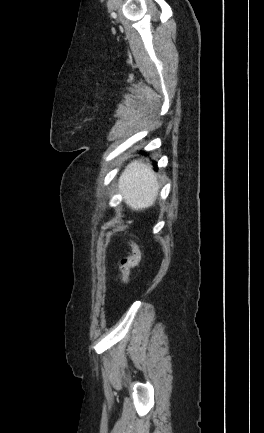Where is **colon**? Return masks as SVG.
I'll return each mask as SVG.
<instances>
[{"label": "colon", "instance_id": "obj_1", "mask_svg": "<svg viewBox=\"0 0 264 433\" xmlns=\"http://www.w3.org/2000/svg\"><path fill=\"white\" fill-rule=\"evenodd\" d=\"M126 240L131 247V254L123 257L120 261V271L124 286L129 284L131 272L133 268L139 265L142 257L139 245L131 238H126Z\"/></svg>", "mask_w": 264, "mask_h": 433}]
</instances>
